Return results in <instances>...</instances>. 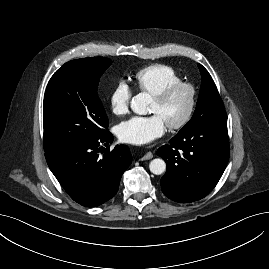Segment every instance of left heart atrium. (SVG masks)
<instances>
[{
	"label": "left heart atrium",
	"instance_id": "obj_1",
	"mask_svg": "<svg viewBox=\"0 0 269 269\" xmlns=\"http://www.w3.org/2000/svg\"><path fill=\"white\" fill-rule=\"evenodd\" d=\"M164 131L165 122L158 114L133 116L117 126V135L122 141L137 145L150 143Z\"/></svg>",
	"mask_w": 269,
	"mask_h": 269
}]
</instances>
